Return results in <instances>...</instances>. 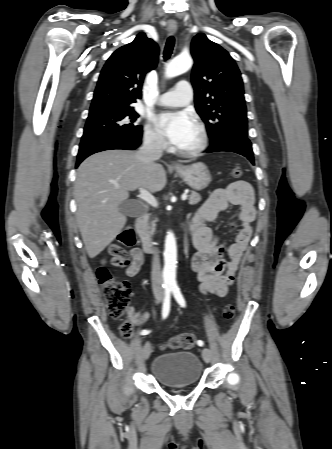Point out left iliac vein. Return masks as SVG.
<instances>
[{"mask_svg": "<svg viewBox=\"0 0 332 449\" xmlns=\"http://www.w3.org/2000/svg\"><path fill=\"white\" fill-rule=\"evenodd\" d=\"M202 357H203V359H204V361H205L206 363L211 362V359H212V353H211L210 349L204 348V349L202 350Z\"/></svg>", "mask_w": 332, "mask_h": 449, "instance_id": "4c4485c4", "label": "left iliac vein"}]
</instances>
